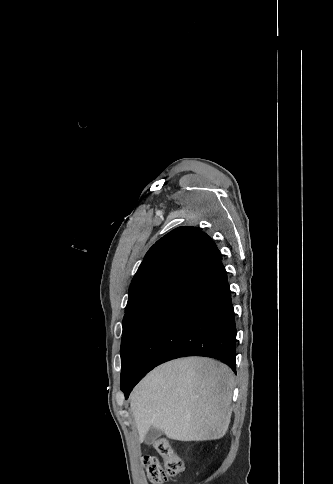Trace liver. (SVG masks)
<instances>
[{
    "label": "liver",
    "instance_id": "1",
    "mask_svg": "<svg viewBox=\"0 0 333 484\" xmlns=\"http://www.w3.org/2000/svg\"><path fill=\"white\" fill-rule=\"evenodd\" d=\"M234 375L209 358L167 362L146 375L130 397L140 441L151 427L179 441H210L228 430Z\"/></svg>",
    "mask_w": 333,
    "mask_h": 484
}]
</instances>
